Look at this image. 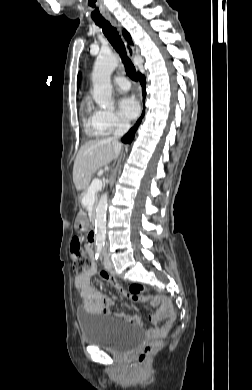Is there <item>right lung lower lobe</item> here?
<instances>
[{
    "instance_id": "98d812e1",
    "label": "right lung lower lobe",
    "mask_w": 252,
    "mask_h": 390,
    "mask_svg": "<svg viewBox=\"0 0 252 390\" xmlns=\"http://www.w3.org/2000/svg\"><path fill=\"white\" fill-rule=\"evenodd\" d=\"M138 78H139V81H140L141 86H142V88H143V98L145 99V96H146V91H145V86H146L145 77H144V75H142V74H138ZM144 114H145V106L143 107L142 115H141V117L139 118V120L137 121L136 125H135L134 127H132V128L128 131V133H126V134L124 135V137L122 138V141H123L124 143H131V142H132V140L134 139V134H135V132H136V130H137V127H138L139 124L141 123V120H142Z\"/></svg>"
}]
</instances>
